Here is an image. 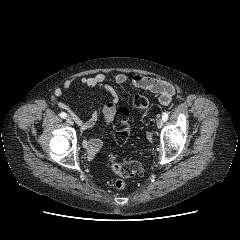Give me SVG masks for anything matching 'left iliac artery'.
<instances>
[{"mask_svg": "<svg viewBox=\"0 0 240 240\" xmlns=\"http://www.w3.org/2000/svg\"><path fill=\"white\" fill-rule=\"evenodd\" d=\"M168 118H169L168 112H164L163 115H162V119H163L164 121H167Z\"/></svg>", "mask_w": 240, "mask_h": 240, "instance_id": "1", "label": "left iliac artery"}]
</instances>
